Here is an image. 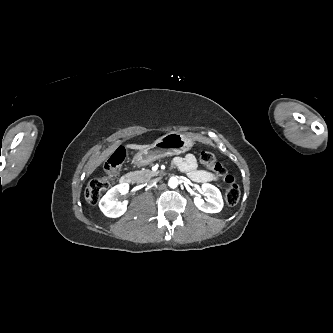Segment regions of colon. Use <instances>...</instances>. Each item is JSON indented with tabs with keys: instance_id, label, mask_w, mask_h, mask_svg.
I'll return each instance as SVG.
<instances>
[{
	"instance_id": "colon-1",
	"label": "colon",
	"mask_w": 333,
	"mask_h": 333,
	"mask_svg": "<svg viewBox=\"0 0 333 333\" xmlns=\"http://www.w3.org/2000/svg\"><path fill=\"white\" fill-rule=\"evenodd\" d=\"M126 157L124 147H118L107 159L104 165L105 177L95 179L90 182L86 189V199L91 204H96L101 196L109 189L111 181L121 170ZM201 164L210 170L213 175L221 178L224 182V194L226 202L233 206L240 198V188L234 177L228 173L225 166L218 161L216 156L209 151L200 153Z\"/></svg>"
}]
</instances>
